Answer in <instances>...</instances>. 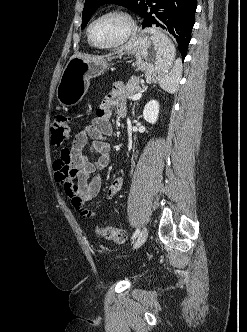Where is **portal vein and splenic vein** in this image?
I'll use <instances>...</instances> for the list:
<instances>
[{
  "label": "portal vein and splenic vein",
  "instance_id": "portal-vein-and-splenic-vein-1",
  "mask_svg": "<svg viewBox=\"0 0 247 332\" xmlns=\"http://www.w3.org/2000/svg\"><path fill=\"white\" fill-rule=\"evenodd\" d=\"M141 97H142V93H137L132 97V100L135 101V100L140 99Z\"/></svg>",
  "mask_w": 247,
  "mask_h": 332
}]
</instances>
